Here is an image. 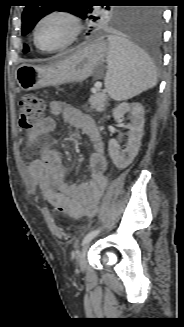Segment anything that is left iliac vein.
Returning <instances> with one entry per match:
<instances>
[{
  "label": "left iliac vein",
  "mask_w": 184,
  "mask_h": 327,
  "mask_svg": "<svg viewBox=\"0 0 184 327\" xmlns=\"http://www.w3.org/2000/svg\"><path fill=\"white\" fill-rule=\"evenodd\" d=\"M88 249H89V242L84 244L78 256V264L82 271H84L86 267V257H87Z\"/></svg>",
  "instance_id": "obj_1"
}]
</instances>
